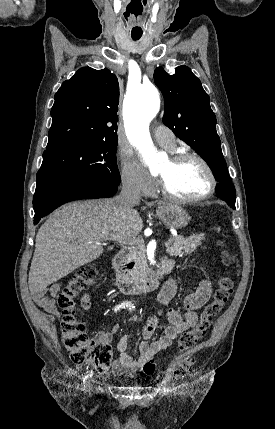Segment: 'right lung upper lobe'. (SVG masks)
Returning a JSON list of instances; mask_svg holds the SVG:
<instances>
[{"instance_id": "obj_1", "label": "right lung upper lobe", "mask_w": 275, "mask_h": 429, "mask_svg": "<svg viewBox=\"0 0 275 429\" xmlns=\"http://www.w3.org/2000/svg\"><path fill=\"white\" fill-rule=\"evenodd\" d=\"M118 103L119 84L110 70L80 68L55 94L45 151L117 139Z\"/></svg>"}]
</instances>
